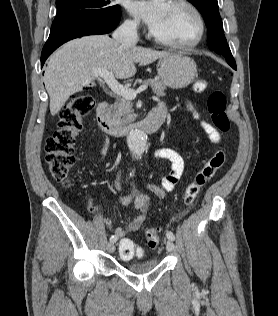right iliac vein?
<instances>
[{
    "mask_svg": "<svg viewBox=\"0 0 278 316\" xmlns=\"http://www.w3.org/2000/svg\"><path fill=\"white\" fill-rule=\"evenodd\" d=\"M107 250L110 252V253H113L115 251V244L114 242H109L107 244Z\"/></svg>",
    "mask_w": 278,
    "mask_h": 316,
    "instance_id": "right-iliac-vein-1",
    "label": "right iliac vein"
}]
</instances>
